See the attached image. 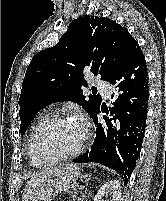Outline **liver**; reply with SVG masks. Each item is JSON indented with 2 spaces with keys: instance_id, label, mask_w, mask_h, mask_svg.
Listing matches in <instances>:
<instances>
[{
  "instance_id": "obj_1",
  "label": "liver",
  "mask_w": 166,
  "mask_h": 201,
  "mask_svg": "<svg viewBox=\"0 0 166 201\" xmlns=\"http://www.w3.org/2000/svg\"><path fill=\"white\" fill-rule=\"evenodd\" d=\"M57 169H51L46 172L34 174L33 177L28 181L23 194V201H29L32 199L33 191L42 184L49 176L54 174Z\"/></svg>"
}]
</instances>
